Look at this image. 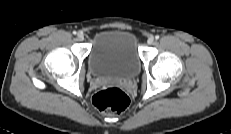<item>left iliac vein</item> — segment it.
I'll return each instance as SVG.
<instances>
[{"label":"left iliac vein","mask_w":231,"mask_h":134,"mask_svg":"<svg viewBox=\"0 0 231 134\" xmlns=\"http://www.w3.org/2000/svg\"><path fill=\"white\" fill-rule=\"evenodd\" d=\"M153 42H154V37H152V36L149 37L148 40H147V43L148 44H153Z\"/></svg>","instance_id":"obj_1"}]
</instances>
